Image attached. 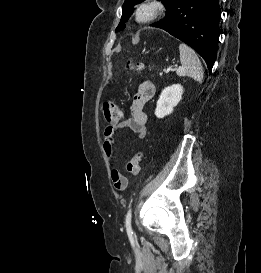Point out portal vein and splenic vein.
<instances>
[{"instance_id": "18ae733b", "label": "portal vein and splenic vein", "mask_w": 261, "mask_h": 273, "mask_svg": "<svg viewBox=\"0 0 261 273\" xmlns=\"http://www.w3.org/2000/svg\"><path fill=\"white\" fill-rule=\"evenodd\" d=\"M177 66H178V65L175 64V66H174L175 68H174V69H176ZM171 70H173V68H172V67H169V68H167V70H165V72L168 73V72H170Z\"/></svg>"}]
</instances>
